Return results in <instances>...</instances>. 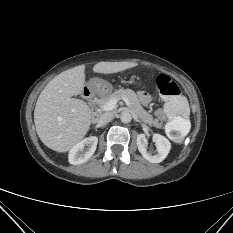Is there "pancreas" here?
<instances>
[{"label": "pancreas", "mask_w": 233, "mask_h": 233, "mask_svg": "<svg viewBox=\"0 0 233 233\" xmlns=\"http://www.w3.org/2000/svg\"><path fill=\"white\" fill-rule=\"evenodd\" d=\"M122 97L128 98L130 102L129 108L139 117L141 121H143L144 123L150 126H155L156 128L162 127L158 119H154L151 114H149L147 111L143 109L136 93L131 89L115 90L113 93L106 95L102 97L101 99H99L98 104L102 106L113 98L120 100Z\"/></svg>", "instance_id": "pancreas-1"}]
</instances>
